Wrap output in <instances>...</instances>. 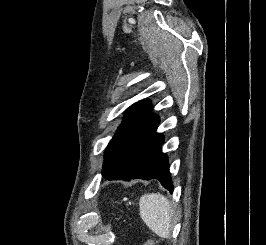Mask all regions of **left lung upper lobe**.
Instances as JSON below:
<instances>
[{"mask_svg": "<svg viewBox=\"0 0 266 245\" xmlns=\"http://www.w3.org/2000/svg\"><path fill=\"white\" fill-rule=\"evenodd\" d=\"M149 101L138 102L126 110L125 118L106 148L102 175L112 178L123 175L135 161L144 137L159 123V116L151 113Z\"/></svg>", "mask_w": 266, "mask_h": 245, "instance_id": "obj_1", "label": "left lung upper lobe"}]
</instances>
